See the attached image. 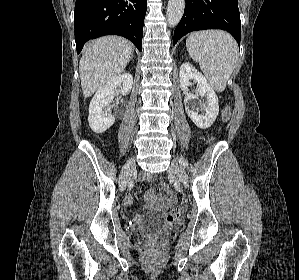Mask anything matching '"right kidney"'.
Segmentation results:
<instances>
[{
    "label": "right kidney",
    "mask_w": 299,
    "mask_h": 280,
    "mask_svg": "<svg viewBox=\"0 0 299 280\" xmlns=\"http://www.w3.org/2000/svg\"><path fill=\"white\" fill-rule=\"evenodd\" d=\"M132 85V75L123 73L98 89L90 102L88 116L89 126L95 133L105 132L115 122V117L109 113V107L117 92V88L121 87L120 93L127 95L130 93Z\"/></svg>",
    "instance_id": "obj_1"
}]
</instances>
